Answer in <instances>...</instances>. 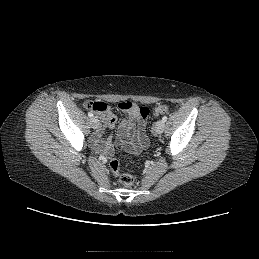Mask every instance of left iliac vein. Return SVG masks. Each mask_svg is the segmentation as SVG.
I'll return each mask as SVG.
<instances>
[{
    "instance_id": "left-iliac-vein-1",
    "label": "left iliac vein",
    "mask_w": 259,
    "mask_h": 259,
    "mask_svg": "<svg viewBox=\"0 0 259 259\" xmlns=\"http://www.w3.org/2000/svg\"><path fill=\"white\" fill-rule=\"evenodd\" d=\"M164 127H165V123L163 120H159L156 122L155 126H154V131L157 134H161L164 131Z\"/></svg>"
}]
</instances>
